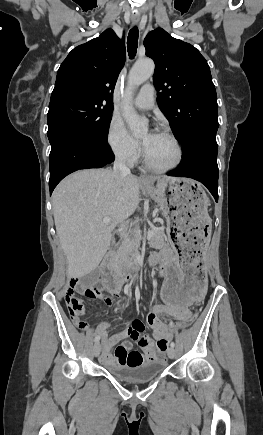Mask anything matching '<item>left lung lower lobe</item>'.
Returning <instances> with one entry per match:
<instances>
[{
	"mask_svg": "<svg viewBox=\"0 0 263 435\" xmlns=\"http://www.w3.org/2000/svg\"><path fill=\"white\" fill-rule=\"evenodd\" d=\"M218 146L216 133H206L190 138L183 146V159L169 176L190 177L203 183L218 201Z\"/></svg>",
	"mask_w": 263,
	"mask_h": 435,
	"instance_id": "0a47b994",
	"label": "left lung lower lobe"
}]
</instances>
